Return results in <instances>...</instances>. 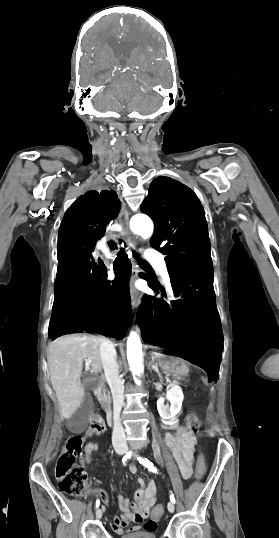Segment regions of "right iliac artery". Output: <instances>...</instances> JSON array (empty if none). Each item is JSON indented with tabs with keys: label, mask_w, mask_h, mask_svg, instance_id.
<instances>
[{
	"label": "right iliac artery",
	"mask_w": 279,
	"mask_h": 538,
	"mask_svg": "<svg viewBox=\"0 0 279 538\" xmlns=\"http://www.w3.org/2000/svg\"><path fill=\"white\" fill-rule=\"evenodd\" d=\"M131 456H132V452L131 451L127 452L126 455L123 457L122 462L125 464L126 461L131 458ZM99 505H100V501L97 500L96 501V508H98Z\"/></svg>",
	"instance_id": "obj_1"
}]
</instances>
